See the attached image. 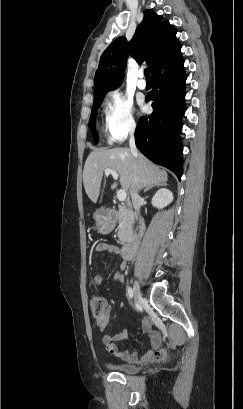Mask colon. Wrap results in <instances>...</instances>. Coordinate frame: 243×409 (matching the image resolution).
<instances>
[{"mask_svg":"<svg viewBox=\"0 0 243 409\" xmlns=\"http://www.w3.org/2000/svg\"><path fill=\"white\" fill-rule=\"evenodd\" d=\"M90 307H91V309H92L94 312L103 309V307H104V302H103L102 297H99V296L93 297V298L91 299V302H90Z\"/></svg>","mask_w":243,"mask_h":409,"instance_id":"1","label":"colon"}]
</instances>
